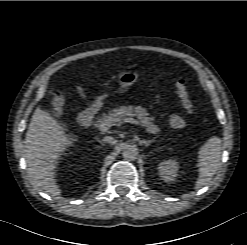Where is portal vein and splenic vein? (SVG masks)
<instances>
[{
  "label": "portal vein and splenic vein",
  "instance_id": "obj_1",
  "mask_svg": "<svg viewBox=\"0 0 247 245\" xmlns=\"http://www.w3.org/2000/svg\"><path fill=\"white\" fill-rule=\"evenodd\" d=\"M124 122H127V123H132V124H136V125H141L139 121H137L136 119L134 118H124ZM112 125L108 122L106 123H102L99 125V130L102 131V132H105L107 131Z\"/></svg>",
  "mask_w": 247,
  "mask_h": 245
}]
</instances>
